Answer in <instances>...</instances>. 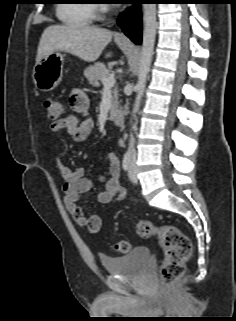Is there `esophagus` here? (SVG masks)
I'll use <instances>...</instances> for the list:
<instances>
[{
  "label": "esophagus",
  "instance_id": "34e87169",
  "mask_svg": "<svg viewBox=\"0 0 236 321\" xmlns=\"http://www.w3.org/2000/svg\"><path fill=\"white\" fill-rule=\"evenodd\" d=\"M117 37L122 39V38H125V35L123 33H119Z\"/></svg>",
  "mask_w": 236,
  "mask_h": 321
}]
</instances>
